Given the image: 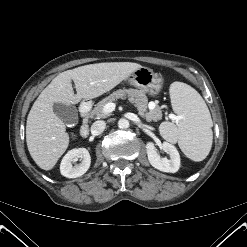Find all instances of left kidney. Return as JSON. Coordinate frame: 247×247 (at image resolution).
<instances>
[{"instance_id":"obj_1","label":"left kidney","mask_w":247,"mask_h":247,"mask_svg":"<svg viewBox=\"0 0 247 247\" xmlns=\"http://www.w3.org/2000/svg\"><path fill=\"white\" fill-rule=\"evenodd\" d=\"M162 149L166 152L170 159L161 158L157 153V149L154 146V143L148 142L146 144L147 156L150 164L163 172L175 173L180 168V155L176 149V147L168 142H164L162 144Z\"/></svg>"}]
</instances>
